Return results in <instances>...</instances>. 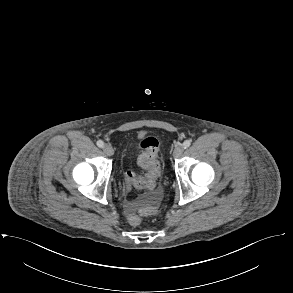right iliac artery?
Returning <instances> with one entry per match:
<instances>
[{"mask_svg": "<svg viewBox=\"0 0 293 293\" xmlns=\"http://www.w3.org/2000/svg\"><path fill=\"white\" fill-rule=\"evenodd\" d=\"M97 146L100 147V148H103L104 142L102 140H98L97 141Z\"/></svg>", "mask_w": 293, "mask_h": 293, "instance_id": "1", "label": "right iliac artery"}]
</instances>
